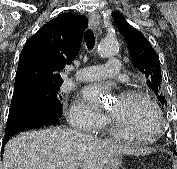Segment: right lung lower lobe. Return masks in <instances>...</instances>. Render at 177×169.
<instances>
[{
	"label": "right lung lower lobe",
	"mask_w": 177,
	"mask_h": 169,
	"mask_svg": "<svg viewBox=\"0 0 177 169\" xmlns=\"http://www.w3.org/2000/svg\"><path fill=\"white\" fill-rule=\"evenodd\" d=\"M61 113L31 105L10 106L2 147L16 133L30 128L59 124Z\"/></svg>",
	"instance_id": "right-lung-lower-lobe-1"
}]
</instances>
